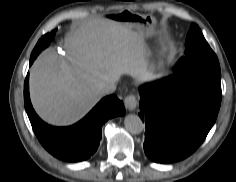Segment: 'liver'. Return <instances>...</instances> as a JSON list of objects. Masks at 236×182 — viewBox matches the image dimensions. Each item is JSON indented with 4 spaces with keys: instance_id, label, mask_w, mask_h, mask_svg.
Listing matches in <instances>:
<instances>
[{
    "instance_id": "liver-1",
    "label": "liver",
    "mask_w": 236,
    "mask_h": 182,
    "mask_svg": "<svg viewBox=\"0 0 236 182\" xmlns=\"http://www.w3.org/2000/svg\"><path fill=\"white\" fill-rule=\"evenodd\" d=\"M72 64L42 53L30 70V96L38 115L53 125H70L102 98L100 87L124 74L137 82L155 75L143 34L109 19L73 28L65 39Z\"/></svg>"
}]
</instances>
